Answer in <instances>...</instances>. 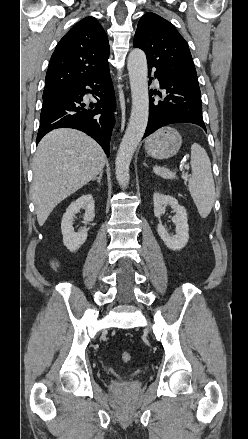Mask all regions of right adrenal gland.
Instances as JSON below:
<instances>
[{
  "label": "right adrenal gland",
  "instance_id": "2a0ac1e0",
  "mask_svg": "<svg viewBox=\"0 0 248 439\" xmlns=\"http://www.w3.org/2000/svg\"><path fill=\"white\" fill-rule=\"evenodd\" d=\"M102 176H103V170L99 173V176H98V177H95V178L93 179V181H94V180H97V182L100 184V183H101Z\"/></svg>",
  "mask_w": 248,
  "mask_h": 439
}]
</instances>
